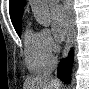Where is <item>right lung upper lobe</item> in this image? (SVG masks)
Returning a JSON list of instances; mask_svg holds the SVG:
<instances>
[{"label": "right lung upper lobe", "instance_id": "1", "mask_svg": "<svg viewBox=\"0 0 89 89\" xmlns=\"http://www.w3.org/2000/svg\"><path fill=\"white\" fill-rule=\"evenodd\" d=\"M25 0H10L9 12L15 30L21 28V18L23 15Z\"/></svg>", "mask_w": 89, "mask_h": 89}]
</instances>
